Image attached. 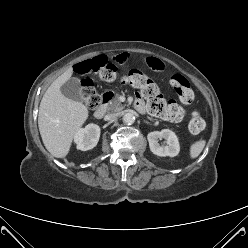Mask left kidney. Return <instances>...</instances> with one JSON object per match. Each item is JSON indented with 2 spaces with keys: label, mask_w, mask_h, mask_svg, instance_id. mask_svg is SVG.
<instances>
[{
  "label": "left kidney",
  "mask_w": 248,
  "mask_h": 248,
  "mask_svg": "<svg viewBox=\"0 0 248 248\" xmlns=\"http://www.w3.org/2000/svg\"><path fill=\"white\" fill-rule=\"evenodd\" d=\"M166 141V146L158 143L159 139ZM150 150L157 156H177L180 151L179 141L175 133L169 129L150 132L147 135Z\"/></svg>",
  "instance_id": "5707ae66"
}]
</instances>
